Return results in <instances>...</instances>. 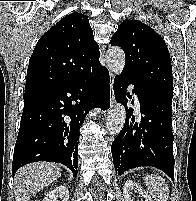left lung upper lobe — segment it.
I'll use <instances>...</instances> for the list:
<instances>
[{
  "label": "left lung upper lobe",
  "mask_w": 196,
  "mask_h": 201,
  "mask_svg": "<svg viewBox=\"0 0 196 201\" xmlns=\"http://www.w3.org/2000/svg\"><path fill=\"white\" fill-rule=\"evenodd\" d=\"M111 45L120 46L126 57L122 74L142 86L173 97L172 67L163 38L138 20H124L111 38Z\"/></svg>",
  "instance_id": "1"
}]
</instances>
